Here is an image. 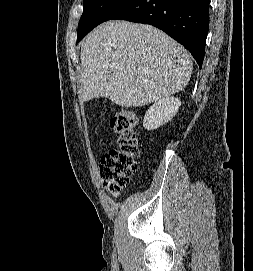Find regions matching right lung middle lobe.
<instances>
[{"mask_svg":"<svg viewBox=\"0 0 253 271\" xmlns=\"http://www.w3.org/2000/svg\"><path fill=\"white\" fill-rule=\"evenodd\" d=\"M130 0H83V14L80 18L77 41L100 23L110 20Z\"/></svg>","mask_w":253,"mask_h":271,"instance_id":"obj_1","label":"right lung middle lobe"}]
</instances>
